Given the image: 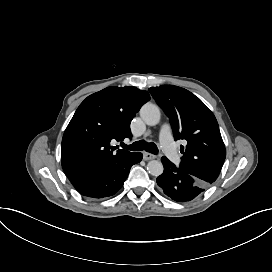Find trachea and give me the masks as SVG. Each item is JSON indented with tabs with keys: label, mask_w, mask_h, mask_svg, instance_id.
Masks as SVG:
<instances>
[{
	"label": "trachea",
	"mask_w": 272,
	"mask_h": 272,
	"mask_svg": "<svg viewBox=\"0 0 272 272\" xmlns=\"http://www.w3.org/2000/svg\"><path fill=\"white\" fill-rule=\"evenodd\" d=\"M120 146L124 149L132 150V151H141L145 149L147 152H150L155 155L159 153V150L154 143H145L144 140L136 141L132 143L131 145H126L124 143H121Z\"/></svg>",
	"instance_id": "obj_1"
}]
</instances>
